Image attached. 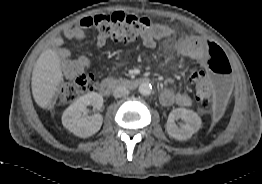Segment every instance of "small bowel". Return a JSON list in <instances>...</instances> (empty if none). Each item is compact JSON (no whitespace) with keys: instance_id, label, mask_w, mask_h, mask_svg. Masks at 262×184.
<instances>
[{"instance_id":"small-bowel-1","label":"small bowel","mask_w":262,"mask_h":184,"mask_svg":"<svg viewBox=\"0 0 262 184\" xmlns=\"http://www.w3.org/2000/svg\"><path fill=\"white\" fill-rule=\"evenodd\" d=\"M173 30L171 27L164 24H156L151 29L141 36L142 44L149 49H154L157 42L161 39L171 37ZM64 37L68 39H84L85 35L83 28L79 24L71 25L65 29ZM107 37L98 34L95 40V45L102 47L106 44ZM207 42L196 36L181 38L176 43V51L179 55L193 59L204 66H207L210 61L205 54L204 47ZM60 45V41L58 42ZM58 54L61 58L62 69L66 77H73L91 68V61L85 56L76 59H70V53L67 49L58 47ZM160 102L164 106L176 104L181 107H190L194 101L187 93H176L171 89H164L160 94Z\"/></svg>"}]
</instances>
